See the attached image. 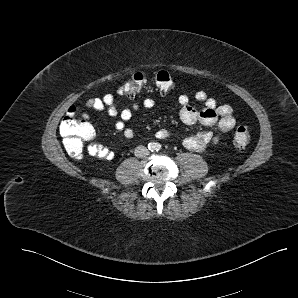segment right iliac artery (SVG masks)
I'll return each mask as SVG.
<instances>
[{
    "label": "right iliac artery",
    "instance_id": "obj_1",
    "mask_svg": "<svg viewBox=\"0 0 298 298\" xmlns=\"http://www.w3.org/2000/svg\"><path fill=\"white\" fill-rule=\"evenodd\" d=\"M148 148H149V150H152L153 151V149L155 148V146H154V144H149L148 145Z\"/></svg>",
    "mask_w": 298,
    "mask_h": 298
}]
</instances>
